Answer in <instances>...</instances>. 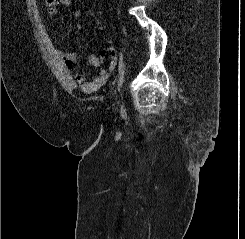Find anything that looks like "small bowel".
<instances>
[{
    "label": "small bowel",
    "mask_w": 245,
    "mask_h": 239,
    "mask_svg": "<svg viewBox=\"0 0 245 239\" xmlns=\"http://www.w3.org/2000/svg\"><path fill=\"white\" fill-rule=\"evenodd\" d=\"M44 4L47 7L48 14L54 16L57 13L58 6H69L71 4V0H44ZM73 16L79 17L80 11L75 10L73 12ZM57 55L62 68L67 73H71L74 70V66L77 61L76 53L57 50ZM88 62L92 67L99 69L97 75L87 81L83 74L76 73L73 75L72 79L83 92L93 93L102 88L110 79L111 74L117 65V55L115 50L112 48L102 51L100 54L91 52L88 56ZM105 63H107L106 67H104Z\"/></svg>",
    "instance_id": "obj_1"
}]
</instances>
